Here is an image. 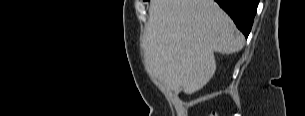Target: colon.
Instances as JSON below:
<instances>
[{"label":"colon","mask_w":305,"mask_h":116,"mask_svg":"<svg viewBox=\"0 0 305 116\" xmlns=\"http://www.w3.org/2000/svg\"><path fill=\"white\" fill-rule=\"evenodd\" d=\"M211 116H216V114H215V113H212Z\"/></svg>","instance_id":"obj_1"}]
</instances>
